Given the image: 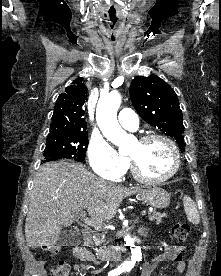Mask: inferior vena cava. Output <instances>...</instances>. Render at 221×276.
<instances>
[{"label":"inferior vena cava","instance_id":"1","mask_svg":"<svg viewBox=\"0 0 221 276\" xmlns=\"http://www.w3.org/2000/svg\"><path fill=\"white\" fill-rule=\"evenodd\" d=\"M110 258L115 263L121 262V252H120V250L115 249L114 247H112L111 252H110Z\"/></svg>","mask_w":221,"mask_h":276}]
</instances>
